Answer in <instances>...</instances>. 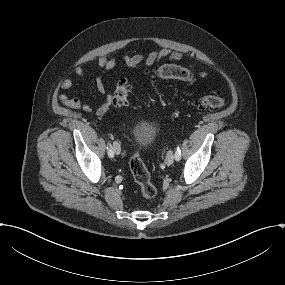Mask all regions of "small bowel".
I'll use <instances>...</instances> for the list:
<instances>
[{
	"label": "small bowel",
	"instance_id": "small-bowel-1",
	"mask_svg": "<svg viewBox=\"0 0 285 285\" xmlns=\"http://www.w3.org/2000/svg\"><path fill=\"white\" fill-rule=\"evenodd\" d=\"M183 53L180 51H173L168 48H163L159 50H153L147 55L143 53H137L134 55H126L122 58V63L129 68H139L143 65L152 66L163 59L168 61H177L182 59ZM117 64V59L114 56L101 55L97 59V76H96V88L99 93L105 95L103 102L96 108L93 109L88 104L82 102L79 98L69 97L65 94L60 93L58 98L60 102L69 108L75 110H82L89 113H94L95 115L101 117L105 115L108 110L113 105V94L107 91V87L104 81V75L111 71ZM190 71L197 70L199 77L206 76V70L203 66L190 65ZM75 73L79 77H84L86 71L82 63H78L75 66ZM60 87L63 90H70L73 87V83L70 79L65 78L61 81Z\"/></svg>",
	"mask_w": 285,
	"mask_h": 285
}]
</instances>
